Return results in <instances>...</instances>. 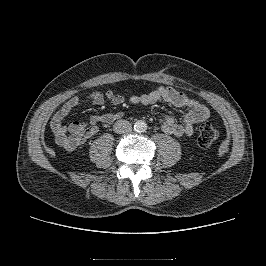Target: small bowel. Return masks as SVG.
I'll use <instances>...</instances> for the list:
<instances>
[{"label":"small bowel","mask_w":266,"mask_h":266,"mask_svg":"<svg viewBox=\"0 0 266 266\" xmlns=\"http://www.w3.org/2000/svg\"><path fill=\"white\" fill-rule=\"evenodd\" d=\"M106 100L114 105H121L125 98L113 90H107L104 94L93 92L84 99L72 97L65 102L54 113L50 121V129L56 143L66 150H73L94 138L99 132V124L110 125L119 120L123 114L115 112L92 115L88 123L73 122L69 125L64 124L65 119L73 110L88 103L102 105ZM130 101L141 105L163 101L177 110L186 109L180 122H177L172 114H164L159 120L162 131L175 137L191 136L194 127L210 116L209 108L206 105L171 87L160 86L148 93L133 95L130 97Z\"/></svg>","instance_id":"small-bowel-1"}]
</instances>
